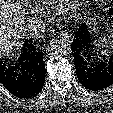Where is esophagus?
Instances as JSON below:
<instances>
[{
  "label": "esophagus",
  "instance_id": "1",
  "mask_svg": "<svg viewBox=\"0 0 113 113\" xmlns=\"http://www.w3.org/2000/svg\"><path fill=\"white\" fill-rule=\"evenodd\" d=\"M60 37L69 43L72 41V36L68 33H61Z\"/></svg>",
  "mask_w": 113,
  "mask_h": 113
}]
</instances>
